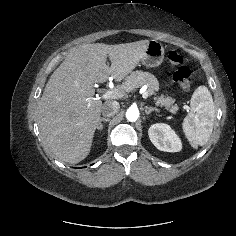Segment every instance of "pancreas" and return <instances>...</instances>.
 Here are the masks:
<instances>
[{
	"label": "pancreas",
	"mask_w": 236,
	"mask_h": 236,
	"mask_svg": "<svg viewBox=\"0 0 236 236\" xmlns=\"http://www.w3.org/2000/svg\"><path fill=\"white\" fill-rule=\"evenodd\" d=\"M145 84L148 85V95L154 96V101L157 106H164L170 111L177 110V106H173L174 99L172 97L165 96L164 94L157 96L159 83L156 77L151 73L138 70L131 72L130 75L126 77L125 82L122 84L120 89L122 92H130Z\"/></svg>",
	"instance_id": "pancreas-1"
}]
</instances>
